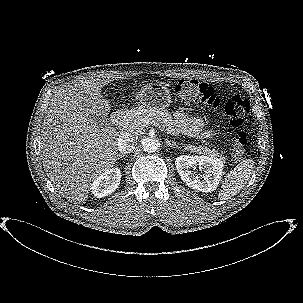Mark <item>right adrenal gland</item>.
I'll return each mask as SVG.
<instances>
[{
	"label": "right adrenal gland",
	"instance_id": "2a0ac1e0",
	"mask_svg": "<svg viewBox=\"0 0 303 303\" xmlns=\"http://www.w3.org/2000/svg\"><path fill=\"white\" fill-rule=\"evenodd\" d=\"M124 155L123 154H118V160L120 159V158H122Z\"/></svg>",
	"mask_w": 303,
	"mask_h": 303
}]
</instances>
